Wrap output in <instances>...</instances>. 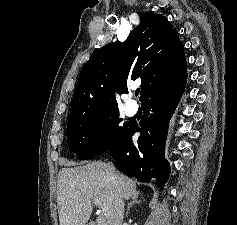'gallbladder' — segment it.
<instances>
[{"label":"gallbladder","instance_id":"gallbladder-1","mask_svg":"<svg viewBox=\"0 0 237 225\" xmlns=\"http://www.w3.org/2000/svg\"><path fill=\"white\" fill-rule=\"evenodd\" d=\"M86 225H95L94 222H89L88 224Z\"/></svg>","mask_w":237,"mask_h":225}]
</instances>
